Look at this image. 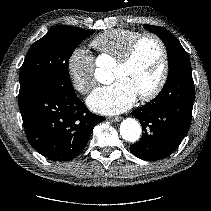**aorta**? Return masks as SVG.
I'll return each instance as SVG.
<instances>
[{"mask_svg": "<svg viewBox=\"0 0 211 211\" xmlns=\"http://www.w3.org/2000/svg\"><path fill=\"white\" fill-rule=\"evenodd\" d=\"M95 70V78L102 84H111L113 82V74L107 66L97 64ZM120 135L128 142H136L141 135L140 124L132 118H127L120 125Z\"/></svg>", "mask_w": 211, "mask_h": 211, "instance_id": "aorta-1", "label": "aorta"}]
</instances>
